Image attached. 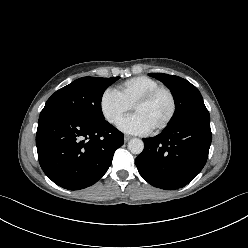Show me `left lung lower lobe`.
<instances>
[{"label": "left lung lower lobe", "mask_w": 248, "mask_h": 248, "mask_svg": "<svg viewBox=\"0 0 248 248\" xmlns=\"http://www.w3.org/2000/svg\"><path fill=\"white\" fill-rule=\"evenodd\" d=\"M211 139L209 112L195 114L164 128L156 137L144 138V150L136 158L137 169L155 187H184L205 166Z\"/></svg>", "instance_id": "1"}]
</instances>
